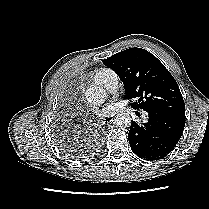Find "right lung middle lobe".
Listing matches in <instances>:
<instances>
[{
  "mask_svg": "<svg viewBox=\"0 0 209 209\" xmlns=\"http://www.w3.org/2000/svg\"><path fill=\"white\" fill-rule=\"evenodd\" d=\"M60 144H61V143H60ZM61 148H62L68 155H70L71 157L78 156V155H80V153H81V152H79V151H77V152L73 151V149L70 148V146H68V145H66V144H64V143L61 144Z\"/></svg>",
  "mask_w": 209,
  "mask_h": 209,
  "instance_id": "1",
  "label": "right lung middle lobe"
}]
</instances>
